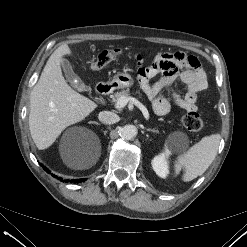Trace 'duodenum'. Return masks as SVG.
I'll return each instance as SVG.
<instances>
[{"instance_id": "410a0bca", "label": "duodenum", "mask_w": 247, "mask_h": 247, "mask_svg": "<svg viewBox=\"0 0 247 247\" xmlns=\"http://www.w3.org/2000/svg\"><path fill=\"white\" fill-rule=\"evenodd\" d=\"M111 90L112 86L110 84H98L96 87L97 93L101 95L108 94Z\"/></svg>"}]
</instances>
